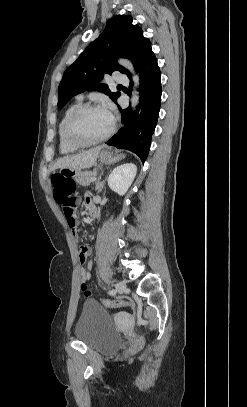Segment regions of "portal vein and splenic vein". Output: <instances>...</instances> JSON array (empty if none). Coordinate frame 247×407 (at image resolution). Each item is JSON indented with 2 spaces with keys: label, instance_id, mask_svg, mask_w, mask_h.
Wrapping results in <instances>:
<instances>
[{
  "label": "portal vein and splenic vein",
  "instance_id": "18ae733b",
  "mask_svg": "<svg viewBox=\"0 0 247 407\" xmlns=\"http://www.w3.org/2000/svg\"><path fill=\"white\" fill-rule=\"evenodd\" d=\"M95 180H96L95 176L90 179V181H95Z\"/></svg>",
  "mask_w": 247,
  "mask_h": 407
}]
</instances>
